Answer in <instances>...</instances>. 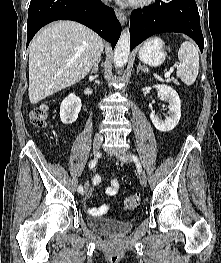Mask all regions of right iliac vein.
I'll list each match as a JSON object with an SVG mask.
<instances>
[{"mask_svg": "<svg viewBox=\"0 0 221 263\" xmlns=\"http://www.w3.org/2000/svg\"><path fill=\"white\" fill-rule=\"evenodd\" d=\"M103 139L100 136H96L93 139V152L97 156L99 154ZM87 192V186L84 187V190L81 192L83 195Z\"/></svg>", "mask_w": 221, "mask_h": 263, "instance_id": "1", "label": "right iliac vein"}]
</instances>
